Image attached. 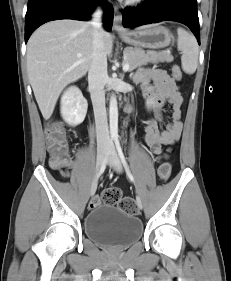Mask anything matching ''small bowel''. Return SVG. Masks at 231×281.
Returning <instances> with one entry per match:
<instances>
[{
    "instance_id": "obj_1",
    "label": "small bowel",
    "mask_w": 231,
    "mask_h": 281,
    "mask_svg": "<svg viewBox=\"0 0 231 281\" xmlns=\"http://www.w3.org/2000/svg\"><path fill=\"white\" fill-rule=\"evenodd\" d=\"M134 81L142 85L148 100L154 105L161 106L167 103L171 108V121L164 128H160L157 121L152 118L145 122L144 142L160 161L168 157L163 151V146L175 143L181 136L183 97L173 79L161 69L143 68L134 75ZM71 164L69 162L68 165ZM59 172L63 177L68 176L65 170Z\"/></svg>"
}]
</instances>
